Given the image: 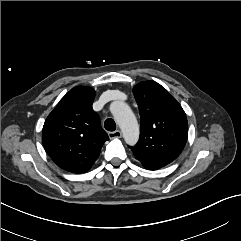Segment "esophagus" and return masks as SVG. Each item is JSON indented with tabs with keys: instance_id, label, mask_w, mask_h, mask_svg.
<instances>
[{
	"instance_id": "1",
	"label": "esophagus",
	"mask_w": 241,
	"mask_h": 241,
	"mask_svg": "<svg viewBox=\"0 0 241 241\" xmlns=\"http://www.w3.org/2000/svg\"><path fill=\"white\" fill-rule=\"evenodd\" d=\"M108 135H109L110 139L121 138L122 132L120 130H116V131H113V132H109Z\"/></svg>"
}]
</instances>
